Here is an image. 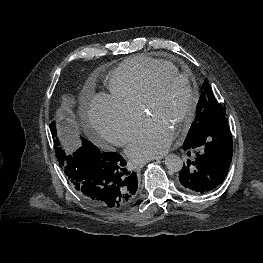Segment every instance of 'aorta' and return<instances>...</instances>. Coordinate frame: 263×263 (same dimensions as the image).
<instances>
[{"label":"aorta","instance_id":"aorta-1","mask_svg":"<svg viewBox=\"0 0 263 263\" xmlns=\"http://www.w3.org/2000/svg\"><path fill=\"white\" fill-rule=\"evenodd\" d=\"M165 165L171 172H179L183 167V160L175 154L167 155L165 158Z\"/></svg>","mask_w":263,"mask_h":263}]
</instances>
